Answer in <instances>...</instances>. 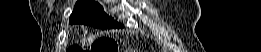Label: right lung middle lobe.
<instances>
[{
  "mask_svg": "<svg viewBox=\"0 0 261 52\" xmlns=\"http://www.w3.org/2000/svg\"><path fill=\"white\" fill-rule=\"evenodd\" d=\"M69 22L71 24H86L100 29L123 27L122 24L105 14L102 6L94 1H78Z\"/></svg>",
  "mask_w": 261,
  "mask_h": 52,
  "instance_id": "right-lung-middle-lobe-1",
  "label": "right lung middle lobe"
}]
</instances>
